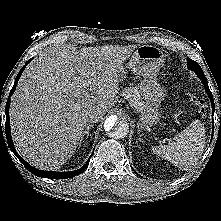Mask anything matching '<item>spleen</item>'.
Wrapping results in <instances>:
<instances>
[{
  "instance_id": "spleen-1",
  "label": "spleen",
  "mask_w": 221,
  "mask_h": 221,
  "mask_svg": "<svg viewBox=\"0 0 221 221\" xmlns=\"http://www.w3.org/2000/svg\"><path fill=\"white\" fill-rule=\"evenodd\" d=\"M205 147V129L195 121L184 129L169 145L152 147V152L183 170L192 168Z\"/></svg>"
}]
</instances>
